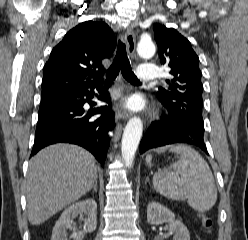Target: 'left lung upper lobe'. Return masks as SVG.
Wrapping results in <instances>:
<instances>
[{
	"label": "left lung upper lobe",
	"mask_w": 248,
	"mask_h": 240,
	"mask_svg": "<svg viewBox=\"0 0 248 240\" xmlns=\"http://www.w3.org/2000/svg\"><path fill=\"white\" fill-rule=\"evenodd\" d=\"M155 40L162 64L171 68L172 79L166 80L167 88H159L157 96L168 109L173 120H197L204 124L202 117L203 85L199 58L191 43L174 28L154 24Z\"/></svg>",
	"instance_id": "left-lung-upper-lobe-1"
}]
</instances>
